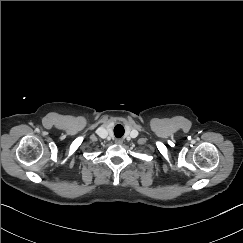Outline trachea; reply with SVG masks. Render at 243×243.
Returning <instances> with one entry per match:
<instances>
[{"label": "trachea", "mask_w": 243, "mask_h": 243, "mask_svg": "<svg viewBox=\"0 0 243 243\" xmlns=\"http://www.w3.org/2000/svg\"><path fill=\"white\" fill-rule=\"evenodd\" d=\"M114 134L116 137H121L124 134V128L122 125H116L114 128Z\"/></svg>", "instance_id": "1"}]
</instances>
